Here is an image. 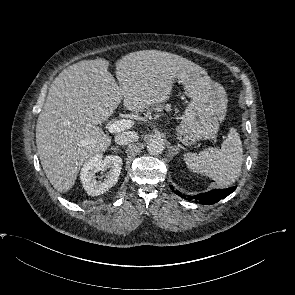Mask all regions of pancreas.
<instances>
[{
  "instance_id": "cf45deb5",
  "label": "pancreas",
  "mask_w": 295,
  "mask_h": 295,
  "mask_svg": "<svg viewBox=\"0 0 295 295\" xmlns=\"http://www.w3.org/2000/svg\"><path fill=\"white\" fill-rule=\"evenodd\" d=\"M162 108H163L162 105H158V106L155 108V110H157V111H161ZM165 108H166V110H170V107H169V106H165ZM147 114L149 115V114H150V111H148Z\"/></svg>"
}]
</instances>
